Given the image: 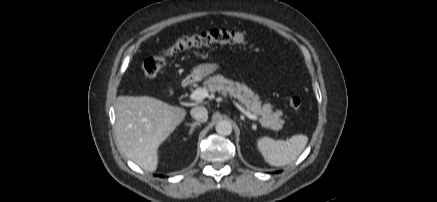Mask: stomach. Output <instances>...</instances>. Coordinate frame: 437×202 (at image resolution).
<instances>
[{
	"label": "stomach",
	"mask_w": 437,
	"mask_h": 202,
	"mask_svg": "<svg viewBox=\"0 0 437 202\" xmlns=\"http://www.w3.org/2000/svg\"><path fill=\"white\" fill-rule=\"evenodd\" d=\"M220 68L219 64L217 63H203L199 64L196 67H194L191 77L194 80H201L204 77L208 76L209 74L214 73Z\"/></svg>",
	"instance_id": "0dacf381"
}]
</instances>
